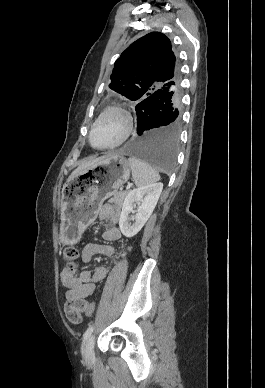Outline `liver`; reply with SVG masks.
<instances>
[{
  "label": "liver",
  "mask_w": 265,
  "mask_h": 388,
  "mask_svg": "<svg viewBox=\"0 0 265 388\" xmlns=\"http://www.w3.org/2000/svg\"><path fill=\"white\" fill-rule=\"evenodd\" d=\"M108 156H119V154H107V156H102V158H96V160H91V162H84V164H81V166H78L77 170H74L72 172L69 180H72V178H75V176H78L80 172H83V170H88V168H92V166H97L101 160H104V158H108Z\"/></svg>",
  "instance_id": "liver-1"
}]
</instances>
